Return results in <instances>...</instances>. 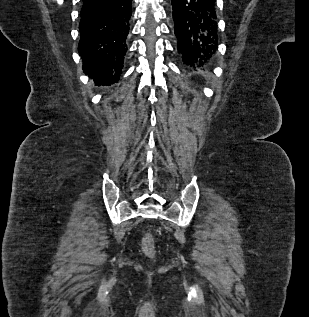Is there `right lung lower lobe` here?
Masks as SVG:
<instances>
[{"label": "right lung lower lobe", "mask_w": 309, "mask_h": 317, "mask_svg": "<svg viewBox=\"0 0 309 317\" xmlns=\"http://www.w3.org/2000/svg\"><path fill=\"white\" fill-rule=\"evenodd\" d=\"M132 0H83L78 52L83 71L97 85L119 79L132 14Z\"/></svg>", "instance_id": "1"}]
</instances>
